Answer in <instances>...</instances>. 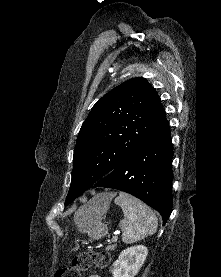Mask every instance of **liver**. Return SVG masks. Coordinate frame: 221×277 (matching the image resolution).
Masks as SVG:
<instances>
[{"label":"liver","mask_w":221,"mask_h":277,"mask_svg":"<svg viewBox=\"0 0 221 277\" xmlns=\"http://www.w3.org/2000/svg\"><path fill=\"white\" fill-rule=\"evenodd\" d=\"M113 196L114 194H103V195L97 196L96 199L103 202L104 204H109Z\"/></svg>","instance_id":"liver-1"}]
</instances>
